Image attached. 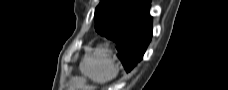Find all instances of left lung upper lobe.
Wrapping results in <instances>:
<instances>
[{"label":"left lung upper lobe","instance_id":"obj_1","mask_svg":"<svg viewBox=\"0 0 228 90\" xmlns=\"http://www.w3.org/2000/svg\"><path fill=\"white\" fill-rule=\"evenodd\" d=\"M133 0H100L95 9V30L101 34L118 22L120 14L135 9ZM115 19V20H114Z\"/></svg>","mask_w":228,"mask_h":90}]
</instances>
